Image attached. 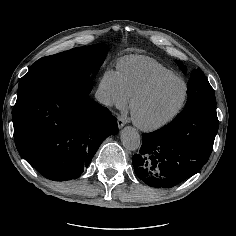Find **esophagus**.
Returning a JSON list of instances; mask_svg holds the SVG:
<instances>
[{
    "label": "esophagus",
    "instance_id": "esophagus-1",
    "mask_svg": "<svg viewBox=\"0 0 236 236\" xmlns=\"http://www.w3.org/2000/svg\"><path fill=\"white\" fill-rule=\"evenodd\" d=\"M126 120L122 116H118L117 124L119 128H122L126 124Z\"/></svg>",
    "mask_w": 236,
    "mask_h": 236
}]
</instances>
